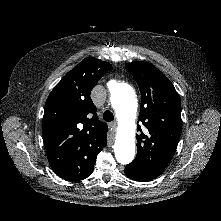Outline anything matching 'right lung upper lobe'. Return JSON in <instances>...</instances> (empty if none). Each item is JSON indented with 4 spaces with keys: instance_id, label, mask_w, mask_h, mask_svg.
I'll use <instances>...</instances> for the list:
<instances>
[{
    "instance_id": "obj_1",
    "label": "right lung upper lobe",
    "mask_w": 221,
    "mask_h": 221,
    "mask_svg": "<svg viewBox=\"0 0 221 221\" xmlns=\"http://www.w3.org/2000/svg\"><path fill=\"white\" fill-rule=\"evenodd\" d=\"M111 68L110 63L85 58L63 77L46 101L42 133L48 161L67 181L87 178L107 144V126L98 120L90 93Z\"/></svg>"
}]
</instances>
